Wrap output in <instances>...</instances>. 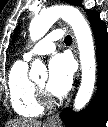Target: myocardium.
<instances>
[{"label": "myocardium", "mask_w": 108, "mask_h": 127, "mask_svg": "<svg viewBox=\"0 0 108 127\" xmlns=\"http://www.w3.org/2000/svg\"><path fill=\"white\" fill-rule=\"evenodd\" d=\"M39 103L44 107L52 103V101L46 96L43 86L38 83L35 84Z\"/></svg>", "instance_id": "f54148a6"}]
</instances>
